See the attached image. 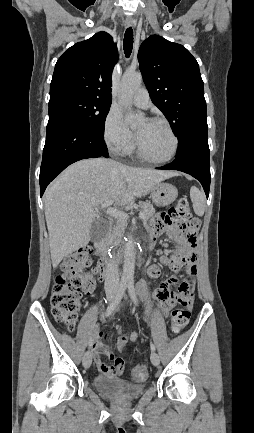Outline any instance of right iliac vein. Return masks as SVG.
Segmentation results:
<instances>
[{
  "label": "right iliac vein",
  "instance_id": "obj_1",
  "mask_svg": "<svg viewBox=\"0 0 254 433\" xmlns=\"http://www.w3.org/2000/svg\"><path fill=\"white\" fill-rule=\"evenodd\" d=\"M114 296H115V292H114V291L109 292V293L107 294V299H108V301H111V300L114 298ZM82 362H83V366H84L85 368H89V367L91 366V363H92V354H91L90 351H87V352L84 354Z\"/></svg>",
  "mask_w": 254,
  "mask_h": 433
}]
</instances>
